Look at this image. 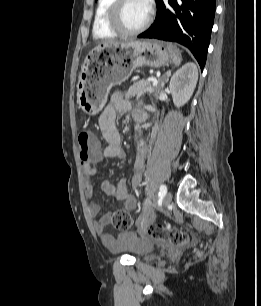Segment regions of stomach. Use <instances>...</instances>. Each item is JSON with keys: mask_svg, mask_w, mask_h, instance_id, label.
<instances>
[{"mask_svg": "<svg viewBox=\"0 0 261 306\" xmlns=\"http://www.w3.org/2000/svg\"><path fill=\"white\" fill-rule=\"evenodd\" d=\"M169 58V50L164 45L148 39L94 48L86 56L80 74V107L88 114L98 113L111 88L126 81L136 68L161 67Z\"/></svg>", "mask_w": 261, "mask_h": 306, "instance_id": "0dacf381", "label": "stomach"}]
</instances>
